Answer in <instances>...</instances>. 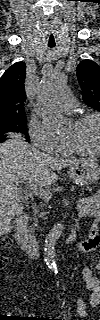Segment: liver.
I'll return each mask as SVG.
<instances>
[{"mask_svg": "<svg viewBox=\"0 0 100 320\" xmlns=\"http://www.w3.org/2000/svg\"><path fill=\"white\" fill-rule=\"evenodd\" d=\"M0 144V217L1 227H8L11 219L23 212L17 181L32 180L40 186L57 181L55 171L80 160L59 159L41 153L24 141L21 134L11 133Z\"/></svg>", "mask_w": 100, "mask_h": 320, "instance_id": "liver-1", "label": "liver"}]
</instances>
